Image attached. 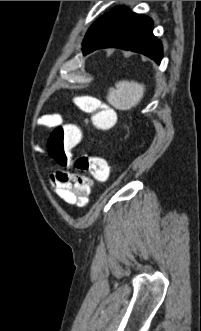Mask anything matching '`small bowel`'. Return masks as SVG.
Here are the masks:
<instances>
[{"mask_svg":"<svg viewBox=\"0 0 201 331\" xmlns=\"http://www.w3.org/2000/svg\"><path fill=\"white\" fill-rule=\"evenodd\" d=\"M63 122L59 114H46L37 121L38 128L50 129ZM35 150L43 153L41 145L36 144ZM49 181L55 193L67 204L83 207L89 200L93 181L84 174H74L66 169H59L50 174Z\"/></svg>","mask_w":201,"mask_h":331,"instance_id":"c3829d8e","label":"small bowel"}]
</instances>
